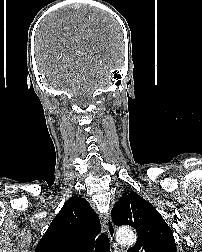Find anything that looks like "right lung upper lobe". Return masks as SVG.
I'll use <instances>...</instances> for the list:
<instances>
[{
  "label": "right lung upper lobe",
  "mask_w": 202,
  "mask_h": 252,
  "mask_svg": "<svg viewBox=\"0 0 202 252\" xmlns=\"http://www.w3.org/2000/svg\"><path fill=\"white\" fill-rule=\"evenodd\" d=\"M100 228L89 203L72 197L52 220L35 252H91Z\"/></svg>",
  "instance_id": "1"
}]
</instances>
